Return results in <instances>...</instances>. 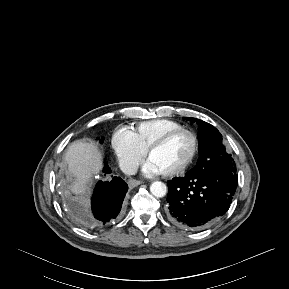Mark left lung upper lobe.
Here are the masks:
<instances>
[{
	"label": "left lung upper lobe",
	"instance_id": "obj_1",
	"mask_svg": "<svg viewBox=\"0 0 289 289\" xmlns=\"http://www.w3.org/2000/svg\"><path fill=\"white\" fill-rule=\"evenodd\" d=\"M191 122H196L199 139V159L192 171L210 170L216 166L228 165L232 171H236L231 155L226 152L222 144V135L211 124L196 118H185Z\"/></svg>",
	"mask_w": 289,
	"mask_h": 289
}]
</instances>
